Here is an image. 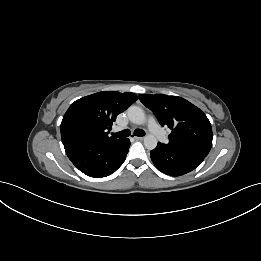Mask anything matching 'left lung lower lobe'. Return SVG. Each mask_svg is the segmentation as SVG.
<instances>
[{
    "instance_id": "0a47b994",
    "label": "left lung lower lobe",
    "mask_w": 261,
    "mask_h": 261,
    "mask_svg": "<svg viewBox=\"0 0 261 261\" xmlns=\"http://www.w3.org/2000/svg\"><path fill=\"white\" fill-rule=\"evenodd\" d=\"M150 156L159 171L171 176H181L194 170L205 158L203 155L171 148L162 143H158Z\"/></svg>"
}]
</instances>
